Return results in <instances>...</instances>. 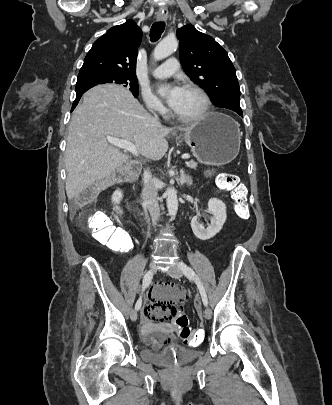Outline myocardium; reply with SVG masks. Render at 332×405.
<instances>
[{
    "label": "myocardium",
    "mask_w": 332,
    "mask_h": 405,
    "mask_svg": "<svg viewBox=\"0 0 332 405\" xmlns=\"http://www.w3.org/2000/svg\"><path fill=\"white\" fill-rule=\"evenodd\" d=\"M183 89L190 90V91L197 93L200 96V98L202 99V102H203L202 108L196 115H194L192 117H182V116H179L178 114H176L175 111H173L172 112L173 117L183 123H196V122L201 121L202 119L205 118V116L209 112V109L211 106V101H210L208 94L199 85L193 84V83L184 85Z\"/></svg>",
    "instance_id": "f54148a6"
}]
</instances>
